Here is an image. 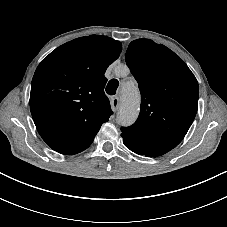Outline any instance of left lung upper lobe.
<instances>
[{
	"label": "left lung upper lobe",
	"mask_w": 227,
	"mask_h": 227,
	"mask_svg": "<svg viewBox=\"0 0 227 227\" xmlns=\"http://www.w3.org/2000/svg\"><path fill=\"white\" fill-rule=\"evenodd\" d=\"M139 84L141 111L136 122L122 127L123 142L133 152L160 156L186 135L198 108V82L173 51L149 39L129 44L125 56Z\"/></svg>",
	"instance_id": "1"
}]
</instances>
